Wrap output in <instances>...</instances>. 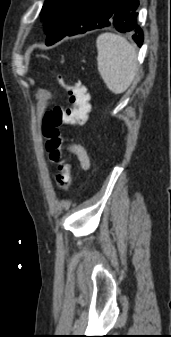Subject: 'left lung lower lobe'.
I'll return each mask as SVG.
<instances>
[{"instance_id": "0a47b994", "label": "left lung lower lobe", "mask_w": 171, "mask_h": 337, "mask_svg": "<svg viewBox=\"0 0 171 337\" xmlns=\"http://www.w3.org/2000/svg\"><path fill=\"white\" fill-rule=\"evenodd\" d=\"M138 5V0H85L75 25L66 35L110 26L119 32L134 31L132 38L141 46L143 33L136 22Z\"/></svg>"}]
</instances>
